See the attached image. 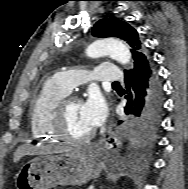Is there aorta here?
<instances>
[{
	"label": "aorta",
	"mask_w": 188,
	"mask_h": 189,
	"mask_svg": "<svg viewBox=\"0 0 188 189\" xmlns=\"http://www.w3.org/2000/svg\"><path fill=\"white\" fill-rule=\"evenodd\" d=\"M86 54L91 58L109 55L121 64H127L131 59V53L127 45L115 38H105L93 42L87 48Z\"/></svg>",
	"instance_id": "aorta-1"
}]
</instances>
